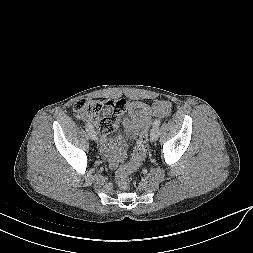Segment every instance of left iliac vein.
<instances>
[{
    "label": "left iliac vein",
    "instance_id": "4c4485c4",
    "mask_svg": "<svg viewBox=\"0 0 253 253\" xmlns=\"http://www.w3.org/2000/svg\"><path fill=\"white\" fill-rule=\"evenodd\" d=\"M159 137V128L153 127L150 131V138L152 141H156Z\"/></svg>",
    "mask_w": 253,
    "mask_h": 253
}]
</instances>
